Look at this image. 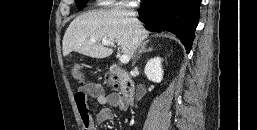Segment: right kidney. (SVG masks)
<instances>
[{
	"instance_id": "1",
	"label": "right kidney",
	"mask_w": 257,
	"mask_h": 130,
	"mask_svg": "<svg viewBox=\"0 0 257 130\" xmlns=\"http://www.w3.org/2000/svg\"><path fill=\"white\" fill-rule=\"evenodd\" d=\"M161 58L155 57L150 59L144 69L147 78L155 83H160L163 78V70L161 67Z\"/></svg>"
}]
</instances>
